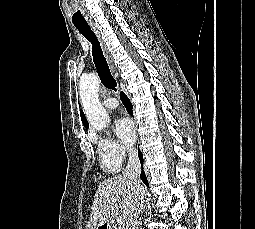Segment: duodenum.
Returning a JSON list of instances; mask_svg holds the SVG:
<instances>
[{"instance_id":"obj_1","label":"duodenum","mask_w":255,"mask_h":229,"mask_svg":"<svg viewBox=\"0 0 255 229\" xmlns=\"http://www.w3.org/2000/svg\"><path fill=\"white\" fill-rule=\"evenodd\" d=\"M99 229H112V227L109 223H104L99 226Z\"/></svg>"}]
</instances>
